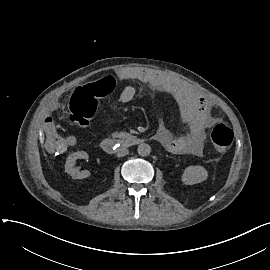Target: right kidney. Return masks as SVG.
Wrapping results in <instances>:
<instances>
[{"instance_id":"obj_1","label":"right kidney","mask_w":270,"mask_h":270,"mask_svg":"<svg viewBox=\"0 0 270 270\" xmlns=\"http://www.w3.org/2000/svg\"><path fill=\"white\" fill-rule=\"evenodd\" d=\"M77 159H88V154L84 151H77L70 154L65 163V171L73 178V179H83L90 175L88 170L79 171L74 167L75 161Z\"/></svg>"}]
</instances>
